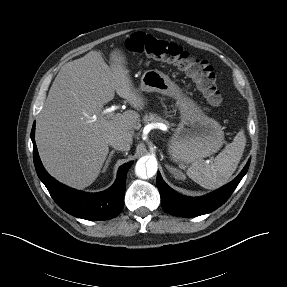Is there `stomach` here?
Wrapping results in <instances>:
<instances>
[{
  "label": "stomach",
  "instance_id": "0dacf381",
  "mask_svg": "<svg viewBox=\"0 0 287 287\" xmlns=\"http://www.w3.org/2000/svg\"><path fill=\"white\" fill-rule=\"evenodd\" d=\"M138 91L158 92L175 98L180 123L168 143V153L179 163H192L216 153L224 143L221 125L208 117L201 107L163 72L147 70Z\"/></svg>",
  "mask_w": 287,
  "mask_h": 287
}]
</instances>
